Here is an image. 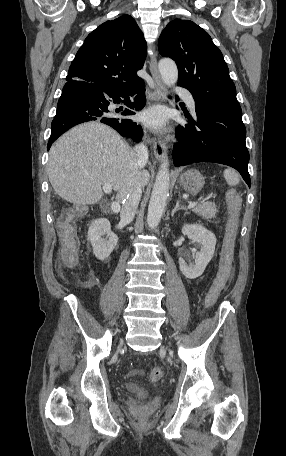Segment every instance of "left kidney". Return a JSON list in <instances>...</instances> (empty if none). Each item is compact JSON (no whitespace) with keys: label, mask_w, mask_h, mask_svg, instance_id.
Returning a JSON list of instances; mask_svg holds the SVG:
<instances>
[{"label":"left kidney","mask_w":286,"mask_h":456,"mask_svg":"<svg viewBox=\"0 0 286 456\" xmlns=\"http://www.w3.org/2000/svg\"><path fill=\"white\" fill-rule=\"evenodd\" d=\"M182 233L193 242L201 245V250L194 257L195 265H187L183 258H179V267L183 275L188 279H195L203 274L212 259L215 252L216 237L214 233L200 224H186L182 228Z\"/></svg>","instance_id":"left-kidney-1"}]
</instances>
